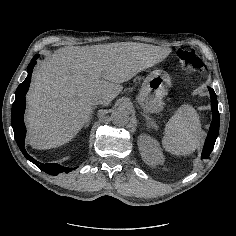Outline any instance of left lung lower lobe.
I'll use <instances>...</instances> for the list:
<instances>
[{
	"label": "left lung lower lobe",
	"mask_w": 236,
	"mask_h": 236,
	"mask_svg": "<svg viewBox=\"0 0 236 236\" xmlns=\"http://www.w3.org/2000/svg\"><path fill=\"white\" fill-rule=\"evenodd\" d=\"M209 92L211 95V108H212V122L210 125L209 133L207 135L204 148L202 151V158L207 159L213 150L216 138L219 133V111H218V103H217V96L212 88L209 87Z\"/></svg>",
	"instance_id": "1"
}]
</instances>
